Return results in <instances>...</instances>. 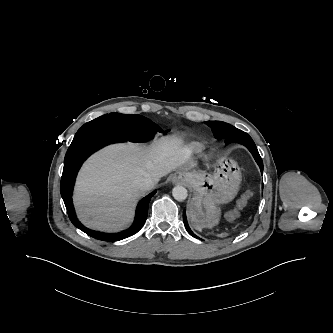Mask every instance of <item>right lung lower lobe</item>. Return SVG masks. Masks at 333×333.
Returning <instances> with one entry per match:
<instances>
[{"mask_svg":"<svg viewBox=\"0 0 333 333\" xmlns=\"http://www.w3.org/2000/svg\"><path fill=\"white\" fill-rule=\"evenodd\" d=\"M124 141L127 140L110 133L103 131H89L82 135L75 136L65 155L60 192L65 203L68 216L75 227L79 228L87 235L95 239L113 242L122 240L137 233L146 221L148 214V204L151 197L156 193V191L150 193L139 202L134 224L128 230L123 232L116 234H106L99 231H93L84 227L77 220L72 206L71 196L79 168L81 167L84 160L96 150L111 143Z\"/></svg>","mask_w":333,"mask_h":333,"instance_id":"98d812e1","label":"right lung lower lobe"}]
</instances>
